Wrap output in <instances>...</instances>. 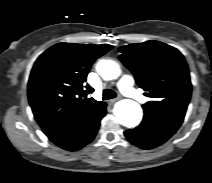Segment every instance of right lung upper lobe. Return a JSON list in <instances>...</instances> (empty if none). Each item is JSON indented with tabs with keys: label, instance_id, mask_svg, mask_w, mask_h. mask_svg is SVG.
<instances>
[{
	"label": "right lung upper lobe",
	"instance_id": "right-lung-upper-lobe-1",
	"mask_svg": "<svg viewBox=\"0 0 212 183\" xmlns=\"http://www.w3.org/2000/svg\"><path fill=\"white\" fill-rule=\"evenodd\" d=\"M111 45L58 43L35 62L28 98L34 117L47 136L68 131L91 120L106 104L87 98L94 89L85 85L93 62Z\"/></svg>",
	"mask_w": 212,
	"mask_h": 183
}]
</instances>
